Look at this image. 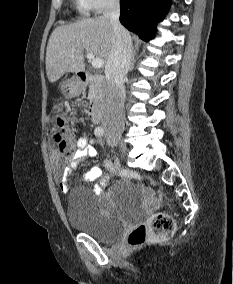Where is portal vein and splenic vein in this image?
Masks as SVG:
<instances>
[{
  "mask_svg": "<svg viewBox=\"0 0 233 284\" xmlns=\"http://www.w3.org/2000/svg\"><path fill=\"white\" fill-rule=\"evenodd\" d=\"M86 56L91 61V64L95 69H100L103 67V59L95 57L94 54L90 52H88Z\"/></svg>",
  "mask_w": 233,
  "mask_h": 284,
  "instance_id": "18ae733b",
  "label": "portal vein and splenic vein"
}]
</instances>
